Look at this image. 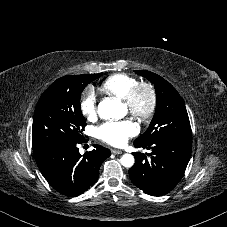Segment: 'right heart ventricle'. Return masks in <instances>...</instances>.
Listing matches in <instances>:
<instances>
[{
    "label": "right heart ventricle",
    "instance_id": "e07e8e85",
    "mask_svg": "<svg viewBox=\"0 0 227 227\" xmlns=\"http://www.w3.org/2000/svg\"><path fill=\"white\" fill-rule=\"evenodd\" d=\"M137 79L125 73H117L106 78L98 87L100 93L124 99L127 92L137 83Z\"/></svg>",
    "mask_w": 227,
    "mask_h": 227
}]
</instances>
